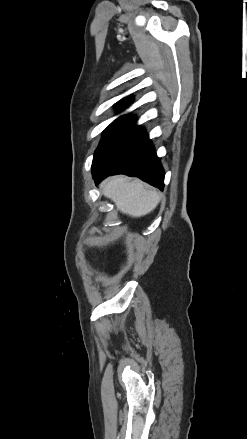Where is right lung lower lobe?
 <instances>
[{"label": "right lung lower lobe", "mask_w": 247, "mask_h": 439, "mask_svg": "<svg viewBox=\"0 0 247 439\" xmlns=\"http://www.w3.org/2000/svg\"><path fill=\"white\" fill-rule=\"evenodd\" d=\"M92 174L97 183L109 175L126 174L164 187V170L144 129L93 167Z\"/></svg>", "instance_id": "obj_1"}]
</instances>
